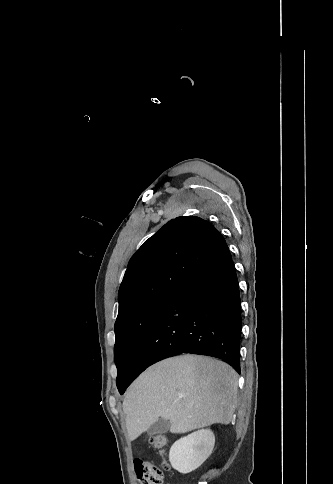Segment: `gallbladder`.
<instances>
[{"mask_svg":"<svg viewBox=\"0 0 333 484\" xmlns=\"http://www.w3.org/2000/svg\"><path fill=\"white\" fill-rule=\"evenodd\" d=\"M170 429V421L165 419H159L154 422L148 429L149 435H157L167 433Z\"/></svg>","mask_w":333,"mask_h":484,"instance_id":"gallbladder-1","label":"gallbladder"}]
</instances>
